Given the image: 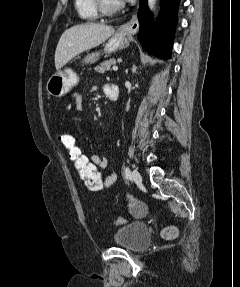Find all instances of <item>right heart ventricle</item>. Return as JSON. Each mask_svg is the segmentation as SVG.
I'll return each mask as SVG.
<instances>
[{"label":"right heart ventricle","mask_w":240,"mask_h":287,"mask_svg":"<svg viewBox=\"0 0 240 287\" xmlns=\"http://www.w3.org/2000/svg\"><path fill=\"white\" fill-rule=\"evenodd\" d=\"M75 9L83 20H95L99 17L94 0H74Z\"/></svg>","instance_id":"e07e8e85"}]
</instances>
